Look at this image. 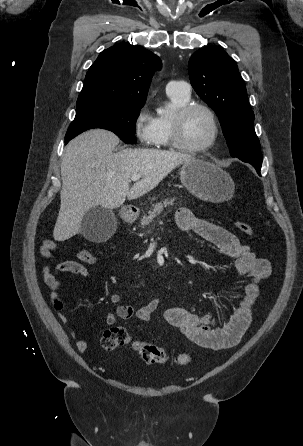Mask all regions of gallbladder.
Returning <instances> with one entry per match:
<instances>
[{"instance_id": "obj_1", "label": "gallbladder", "mask_w": 303, "mask_h": 446, "mask_svg": "<svg viewBox=\"0 0 303 446\" xmlns=\"http://www.w3.org/2000/svg\"><path fill=\"white\" fill-rule=\"evenodd\" d=\"M116 223L115 215L111 210L97 206L83 217L80 233L90 241L101 242L114 233Z\"/></svg>"}]
</instances>
